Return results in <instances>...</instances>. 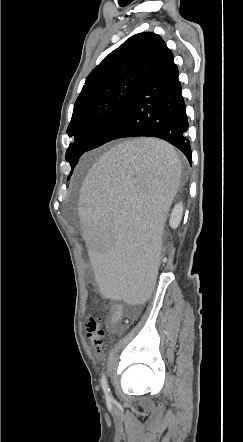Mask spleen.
Returning <instances> with one entry per match:
<instances>
[{"mask_svg":"<svg viewBox=\"0 0 243 442\" xmlns=\"http://www.w3.org/2000/svg\"><path fill=\"white\" fill-rule=\"evenodd\" d=\"M180 179L177 153L153 138L118 145L87 173L77 224L85 228L82 242L102 296L124 307H143L144 296H151L164 219Z\"/></svg>","mask_w":243,"mask_h":442,"instance_id":"3e777b00","label":"spleen"}]
</instances>
